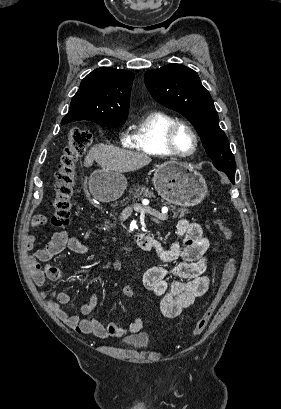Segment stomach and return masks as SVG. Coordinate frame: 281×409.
<instances>
[{
	"label": "stomach",
	"mask_w": 281,
	"mask_h": 409,
	"mask_svg": "<svg viewBox=\"0 0 281 409\" xmlns=\"http://www.w3.org/2000/svg\"><path fill=\"white\" fill-rule=\"evenodd\" d=\"M153 184L158 194L180 207H194L205 198L207 184L198 170H194L188 162L166 160L158 164L153 174ZM89 190L100 202L117 200L123 194L127 180L117 170H94L89 176Z\"/></svg>",
	"instance_id": "stomach-1"
}]
</instances>
